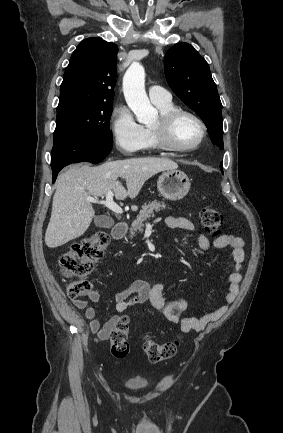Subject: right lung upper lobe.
<instances>
[{
    "label": "right lung upper lobe",
    "instance_id": "1",
    "mask_svg": "<svg viewBox=\"0 0 283 433\" xmlns=\"http://www.w3.org/2000/svg\"><path fill=\"white\" fill-rule=\"evenodd\" d=\"M118 47L92 37L83 40L66 67L57 110L85 103L113 102Z\"/></svg>",
    "mask_w": 283,
    "mask_h": 433
}]
</instances>
